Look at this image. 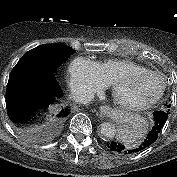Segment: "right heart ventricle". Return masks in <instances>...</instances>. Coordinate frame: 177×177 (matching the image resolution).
<instances>
[{
	"mask_svg": "<svg viewBox=\"0 0 177 177\" xmlns=\"http://www.w3.org/2000/svg\"><path fill=\"white\" fill-rule=\"evenodd\" d=\"M94 64L106 84H111L116 77L124 73L147 70L144 66L126 59H107Z\"/></svg>",
	"mask_w": 177,
	"mask_h": 177,
	"instance_id": "e07e8e85",
	"label": "right heart ventricle"
}]
</instances>
